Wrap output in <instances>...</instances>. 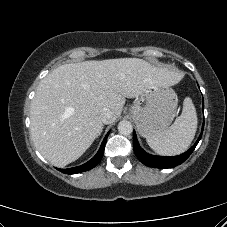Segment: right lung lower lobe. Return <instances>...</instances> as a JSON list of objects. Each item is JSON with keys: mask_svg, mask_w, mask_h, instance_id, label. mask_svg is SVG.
<instances>
[{"mask_svg": "<svg viewBox=\"0 0 227 227\" xmlns=\"http://www.w3.org/2000/svg\"><path fill=\"white\" fill-rule=\"evenodd\" d=\"M108 135H109V132L105 136V138L100 146L99 151L90 161L86 162L83 165L77 166V167H73V168H69V169H58V170L65 174H76V173L88 171V170L94 168L102 159Z\"/></svg>", "mask_w": 227, "mask_h": 227, "instance_id": "1", "label": "right lung lower lobe"}]
</instances>
